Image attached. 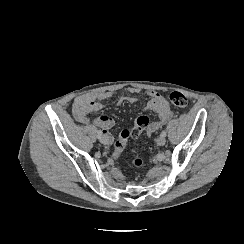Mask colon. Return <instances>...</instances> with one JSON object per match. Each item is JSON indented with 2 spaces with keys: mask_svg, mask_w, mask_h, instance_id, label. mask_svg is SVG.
Wrapping results in <instances>:
<instances>
[{
  "mask_svg": "<svg viewBox=\"0 0 244 244\" xmlns=\"http://www.w3.org/2000/svg\"><path fill=\"white\" fill-rule=\"evenodd\" d=\"M168 100L171 105H173L175 107H179V108H184L189 103L188 98L182 92H179V91H173V92L169 93ZM149 122H150V119L148 116L141 115L135 121L134 126L132 127L131 131L122 130L114 144L111 158L113 160L119 159V157L121 156V154L124 152V150L127 147L128 137L130 135H131V137H138L142 133V131L148 126ZM131 163L135 167L144 166V160L140 157H134L131 160Z\"/></svg>",
  "mask_w": 244,
  "mask_h": 244,
  "instance_id": "5ec220e1",
  "label": "colon"
}]
</instances>
